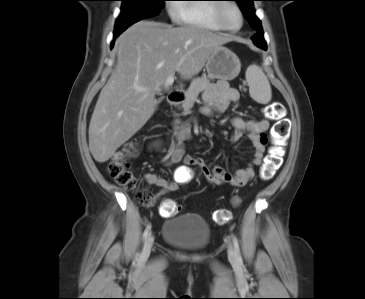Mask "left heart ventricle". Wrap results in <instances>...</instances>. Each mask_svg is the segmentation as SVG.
I'll return each mask as SVG.
<instances>
[{
    "instance_id": "1",
    "label": "left heart ventricle",
    "mask_w": 365,
    "mask_h": 299,
    "mask_svg": "<svg viewBox=\"0 0 365 299\" xmlns=\"http://www.w3.org/2000/svg\"><path fill=\"white\" fill-rule=\"evenodd\" d=\"M224 23L228 27L237 28L240 25V16L238 11L232 7H227L224 13Z\"/></svg>"
}]
</instances>
